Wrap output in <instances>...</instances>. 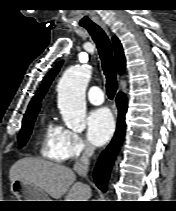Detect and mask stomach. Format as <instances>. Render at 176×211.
<instances>
[{"label": "stomach", "instance_id": "stomach-1", "mask_svg": "<svg viewBox=\"0 0 176 211\" xmlns=\"http://www.w3.org/2000/svg\"><path fill=\"white\" fill-rule=\"evenodd\" d=\"M10 190L19 201H50L44 191L22 180L11 182Z\"/></svg>", "mask_w": 176, "mask_h": 211}]
</instances>
